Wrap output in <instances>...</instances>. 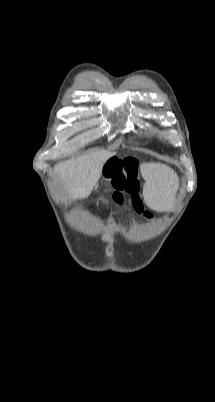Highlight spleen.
Listing matches in <instances>:
<instances>
[{
	"mask_svg": "<svg viewBox=\"0 0 215 402\" xmlns=\"http://www.w3.org/2000/svg\"><path fill=\"white\" fill-rule=\"evenodd\" d=\"M141 173L146 180L144 195L148 210L172 209V202L166 201L165 197L173 195L171 187L177 184L176 176H171L168 168L157 164H143Z\"/></svg>",
	"mask_w": 215,
	"mask_h": 402,
	"instance_id": "spleen-1",
	"label": "spleen"
}]
</instances>
